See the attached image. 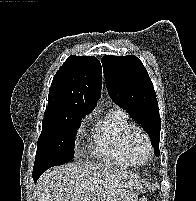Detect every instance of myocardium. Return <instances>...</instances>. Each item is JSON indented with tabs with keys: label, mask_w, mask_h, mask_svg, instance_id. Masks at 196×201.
<instances>
[{
	"label": "myocardium",
	"mask_w": 196,
	"mask_h": 201,
	"mask_svg": "<svg viewBox=\"0 0 196 201\" xmlns=\"http://www.w3.org/2000/svg\"><path fill=\"white\" fill-rule=\"evenodd\" d=\"M137 139H142L147 147V158L142 163L137 162L134 156V144ZM127 150H128V156H129L131 165L137 166V167L146 165L153 156V145H152L149 134L141 128H134L128 138Z\"/></svg>",
	"instance_id": "myocardium-1"
}]
</instances>
